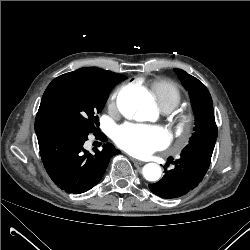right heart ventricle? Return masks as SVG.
<instances>
[{"label": "right heart ventricle", "instance_id": "1", "mask_svg": "<svg viewBox=\"0 0 250 250\" xmlns=\"http://www.w3.org/2000/svg\"><path fill=\"white\" fill-rule=\"evenodd\" d=\"M151 93L164 112L176 108L182 100V92L177 83L169 79H159L151 83Z\"/></svg>", "mask_w": 250, "mask_h": 250}]
</instances>
